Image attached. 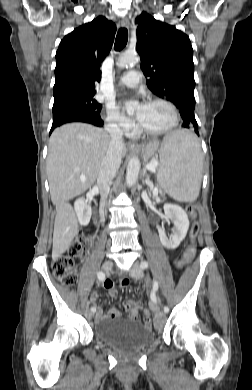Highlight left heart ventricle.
I'll list each match as a JSON object with an SVG mask.
<instances>
[{"mask_svg": "<svg viewBox=\"0 0 252 390\" xmlns=\"http://www.w3.org/2000/svg\"><path fill=\"white\" fill-rule=\"evenodd\" d=\"M138 122L148 130H162L173 121L170 108L163 103L144 104L135 111Z\"/></svg>", "mask_w": 252, "mask_h": 390, "instance_id": "1", "label": "left heart ventricle"}]
</instances>
